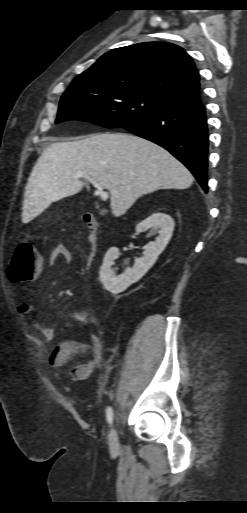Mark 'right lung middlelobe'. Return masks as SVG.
<instances>
[{
    "instance_id": "obj_1",
    "label": "right lung middle lobe",
    "mask_w": 247,
    "mask_h": 513,
    "mask_svg": "<svg viewBox=\"0 0 247 513\" xmlns=\"http://www.w3.org/2000/svg\"><path fill=\"white\" fill-rule=\"evenodd\" d=\"M167 107L158 99L127 89L82 86L72 82L61 97L56 122L78 119L106 128H120Z\"/></svg>"
}]
</instances>
